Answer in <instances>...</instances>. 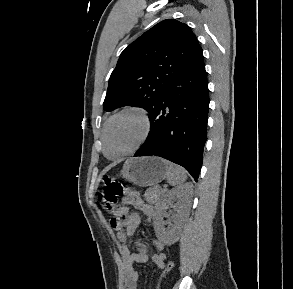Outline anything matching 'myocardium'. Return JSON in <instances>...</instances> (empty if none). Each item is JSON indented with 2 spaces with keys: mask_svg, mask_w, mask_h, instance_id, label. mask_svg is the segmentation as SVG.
I'll list each match as a JSON object with an SVG mask.
<instances>
[{
  "mask_svg": "<svg viewBox=\"0 0 293 289\" xmlns=\"http://www.w3.org/2000/svg\"><path fill=\"white\" fill-rule=\"evenodd\" d=\"M125 114H135L137 115L142 123V131H141V135L137 141V143L130 148L128 151H126L125 153L119 155V156H110L107 153V144H106V139H107V131L108 128L110 126V124L118 117L125 115ZM152 130V120L150 117L149 112L141 106H128L125 107L121 110H119L118 112H116L115 114H113L105 123L103 130H102V134H101V139H102V145H103V153L104 155L111 160H118V159H122L125 158L133 153H135L137 150H139L144 143L146 142V140L148 139L150 133Z\"/></svg>",
  "mask_w": 293,
  "mask_h": 289,
  "instance_id": "obj_1",
  "label": "myocardium"
}]
</instances>
